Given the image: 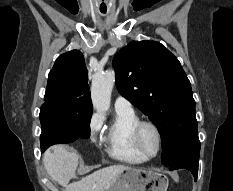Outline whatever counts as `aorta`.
I'll return each instance as SVG.
<instances>
[{
  "mask_svg": "<svg viewBox=\"0 0 233 191\" xmlns=\"http://www.w3.org/2000/svg\"><path fill=\"white\" fill-rule=\"evenodd\" d=\"M114 82L115 75L113 72H106L93 79L91 99L97 112L105 113L109 110Z\"/></svg>",
  "mask_w": 233,
  "mask_h": 191,
  "instance_id": "obj_1",
  "label": "aorta"
}]
</instances>
